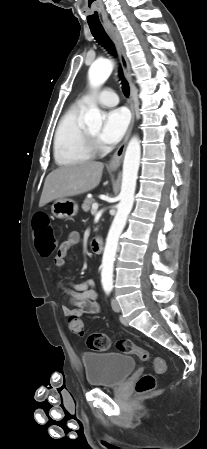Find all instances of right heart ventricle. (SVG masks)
I'll return each instance as SVG.
<instances>
[{"mask_svg": "<svg viewBox=\"0 0 207 449\" xmlns=\"http://www.w3.org/2000/svg\"><path fill=\"white\" fill-rule=\"evenodd\" d=\"M85 105L70 108L60 119L54 134L53 153L59 166H70L92 158L85 143L80 119Z\"/></svg>", "mask_w": 207, "mask_h": 449, "instance_id": "1", "label": "right heart ventricle"}]
</instances>
